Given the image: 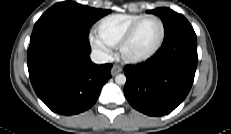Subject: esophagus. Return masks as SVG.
Returning a JSON list of instances; mask_svg holds the SVG:
<instances>
[{
  "instance_id": "34e87169",
  "label": "esophagus",
  "mask_w": 231,
  "mask_h": 134,
  "mask_svg": "<svg viewBox=\"0 0 231 134\" xmlns=\"http://www.w3.org/2000/svg\"><path fill=\"white\" fill-rule=\"evenodd\" d=\"M121 71H122V68L119 65H113L111 70H110L112 76L117 75Z\"/></svg>"
}]
</instances>
